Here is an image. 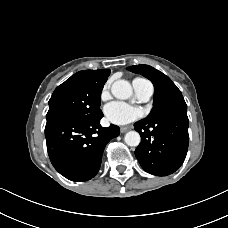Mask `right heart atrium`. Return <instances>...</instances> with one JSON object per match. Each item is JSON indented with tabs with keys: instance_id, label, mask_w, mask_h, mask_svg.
<instances>
[{
	"instance_id": "d8ad5b80",
	"label": "right heart atrium",
	"mask_w": 228,
	"mask_h": 228,
	"mask_svg": "<svg viewBox=\"0 0 228 228\" xmlns=\"http://www.w3.org/2000/svg\"><path fill=\"white\" fill-rule=\"evenodd\" d=\"M110 86H111V82L110 81H108V82H106L104 84V86H103V88L101 90V94H100L101 99L104 100V99H107L109 97V95H110Z\"/></svg>"
}]
</instances>
